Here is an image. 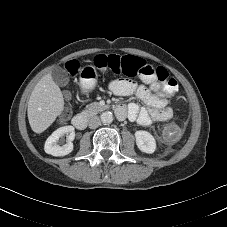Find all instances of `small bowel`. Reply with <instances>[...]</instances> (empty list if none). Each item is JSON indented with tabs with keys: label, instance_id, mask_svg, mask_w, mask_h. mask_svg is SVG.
<instances>
[{
	"label": "small bowel",
	"instance_id": "c3829d8e",
	"mask_svg": "<svg viewBox=\"0 0 227 227\" xmlns=\"http://www.w3.org/2000/svg\"><path fill=\"white\" fill-rule=\"evenodd\" d=\"M140 77L144 84H137L129 79H117L111 82L109 89L115 96L129 97L134 95L146 105V107H139L136 103H131L127 108L120 106L125 109V115L117 116L123 119L128 114L130 120H136L142 126L171 120L174 111L167 104L162 86L153 78L143 75Z\"/></svg>",
	"mask_w": 227,
	"mask_h": 227
}]
</instances>
